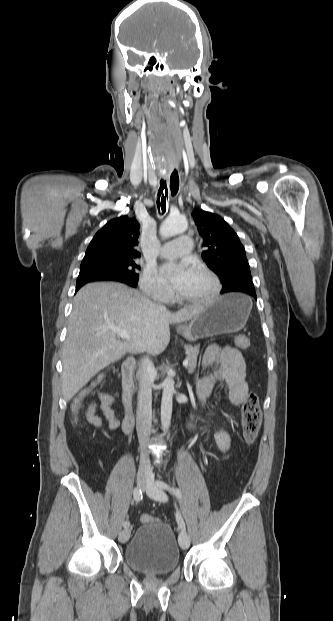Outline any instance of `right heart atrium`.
Wrapping results in <instances>:
<instances>
[{
  "mask_svg": "<svg viewBox=\"0 0 333 621\" xmlns=\"http://www.w3.org/2000/svg\"><path fill=\"white\" fill-rule=\"evenodd\" d=\"M140 288L150 298L168 302L172 297L171 290L156 276L153 270L146 269L140 277Z\"/></svg>",
  "mask_w": 333,
  "mask_h": 621,
  "instance_id": "obj_1",
  "label": "right heart atrium"
}]
</instances>
